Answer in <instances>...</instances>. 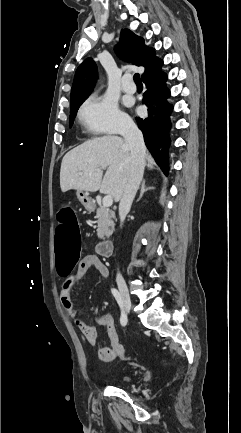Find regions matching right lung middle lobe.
<instances>
[{
    "label": "right lung middle lobe",
    "instance_id": "right-lung-middle-lobe-1",
    "mask_svg": "<svg viewBox=\"0 0 241 433\" xmlns=\"http://www.w3.org/2000/svg\"><path fill=\"white\" fill-rule=\"evenodd\" d=\"M84 100L79 101L74 107L70 108V117H69V123L70 126H72L74 118L76 116L77 110L79 108V106L83 103Z\"/></svg>",
    "mask_w": 241,
    "mask_h": 433
}]
</instances>
